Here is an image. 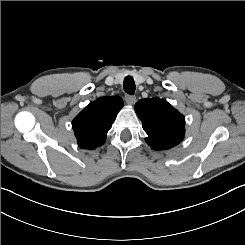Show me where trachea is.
Instances as JSON below:
<instances>
[{"mask_svg": "<svg viewBox=\"0 0 245 245\" xmlns=\"http://www.w3.org/2000/svg\"><path fill=\"white\" fill-rule=\"evenodd\" d=\"M124 91L129 95H134L136 86L132 76H126L123 82Z\"/></svg>", "mask_w": 245, "mask_h": 245, "instance_id": "3493384b", "label": "trachea"}]
</instances>
